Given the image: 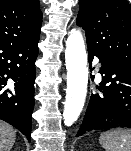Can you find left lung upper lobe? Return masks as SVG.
I'll list each match as a JSON object with an SVG mask.
<instances>
[{"label":"left lung upper lobe","mask_w":131,"mask_h":151,"mask_svg":"<svg viewBox=\"0 0 131 151\" xmlns=\"http://www.w3.org/2000/svg\"><path fill=\"white\" fill-rule=\"evenodd\" d=\"M77 25L87 47L131 68V6L127 0H79Z\"/></svg>","instance_id":"1"}]
</instances>
